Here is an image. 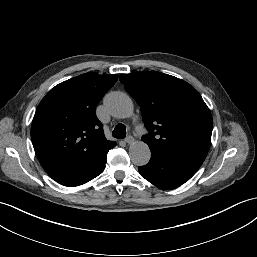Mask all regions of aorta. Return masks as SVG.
Instances as JSON below:
<instances>
[{"label": "aorta", "mask_w": 257, "mask_h": 257, "mask_svg": "<svg viewBox=\"0 0 257 257\" xmlns=\"http://www.w3.org/2000/svg\"><path fill=\"white\" fill-rule=\"evenodd\" d=\"M105 106L108 112L116 118L125 119L133 113V102L131 98L122 92H112L105 98ZM131 161L137 166L146 165L151 158L149 146L142 142H134L129 148Z\"/></svg>", "instance_id": "1"}]
</instances>
